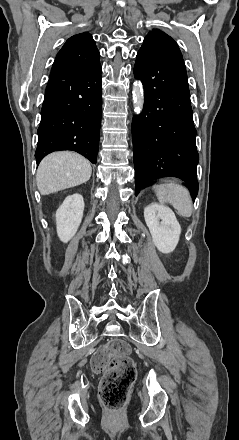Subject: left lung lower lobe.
Here are the masks:
<instances>
[{
    "label": "left lung lower lobe",
    "instance_id": "1",
    "mask_svg": "<svg viewBox=\"0 0 239 440\" xmlns=\"http://www.w3.org/2000/svg\"><path fill=\"white\" fill-rule=\"evenodd\" d=\"M134 75L145 91L143 113L132 122L135 194L148 181L172 176L185 181L195 199L199 155L184 61L139 50Z\"/></svg>",
    "mask_w": 239,
    "mask_h": 440
}]
</instances>
